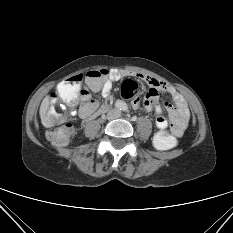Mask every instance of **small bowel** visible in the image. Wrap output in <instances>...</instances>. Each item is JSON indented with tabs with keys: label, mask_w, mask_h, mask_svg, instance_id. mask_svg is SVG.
<instances>
[{
	"label": "small bowel",
	"mask_w": 233,
	"mask_h": 233,
	"mask_svg": "<svg viewBox=\"0 0 233 233\" xmlns=\"http://www.w3.org/2000/svg\"><path fill=\"white\" fill-rule=\"evenodd\" d=\"M131 75L136 76L149 87V90L143 102L139 97L138 87L135 91L132 92V94L129 96V98L131 99L132 107L134 109H143L144 111L154 109L157 113V117L155 120L156 127L160 131H165L168 128L170 121L171 131L173 135L176 137H181L188 124L189 110L185 99L170 84L148 75L132 74L129 71L123 69H112L109 72L104 84L100 88L102 97L106 101L112 100L111 91L113 84L121 80L122 78ZM159 93H165L172 98L173 104L167 102L165 103V109L168 113L169 121L164 116L163 111L159 106ZM95 109V103L90 104L83 101L78 109V115L83 119H88L94 114Z\"/></svg>",
	"instance_id": "obj_1"
}]
</instances>
